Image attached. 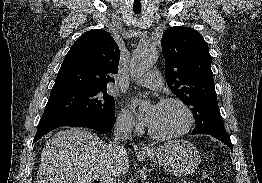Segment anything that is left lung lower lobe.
I'll list each match as a JSON object with an SVG mask.
<instances>
[{
  "mask_svg": "<svg viewBox=\"0 0 262 183\" xmlns=\"http://www.w3.org/2000/svg\"><path fill=\"white\" fill-rule=\"evenodd\" d=\"M191 134L192 135H196V134L211 135L217 138L218 140H220L221 142H223L224 144L228 145L229 148L232 150V143L230 140V136L228 135V133L225 130H208V131L197 132V133L192 132Z\"/></svg>",
  "mask_w": 262,
  "mask_h": 183,
  "instance_id": "left-lung-lower-lobe-1",
  "label": "left lung lower lobe"
}]
</instances>
